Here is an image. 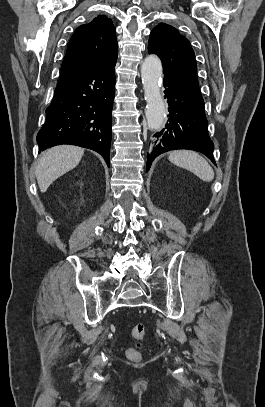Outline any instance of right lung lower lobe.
Listing matches in <instances>:
<instances>
[{
	"instance_id": "right-lung-lower-lobe-1",
	"label": "right lung lower lobe",
	"mask_w": 265,
	"mask_h": 407,
	"mask_svg": "<svg viewBox=\"0 0 265 407\" xmlns=\"http://www.w3.org/2000/svg\"><path fill=\"white\" fill-rule=\"evenodd\" d=\"M117 57L58 84L37 135L39 152L60 144L92 149L109 166Z\"/></svg>"
}]
</instances>
